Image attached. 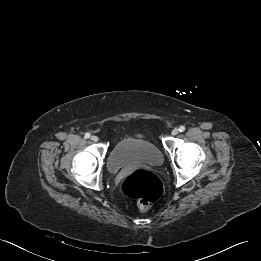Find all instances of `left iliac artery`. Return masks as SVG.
<instances>
[{
	"mask_svg": "<svg viewBox=\"0 0 261 261\" xmlns=\"http://www.w3.org/2000/svg\"><path fill=\"white\" fill-rule=\"evenodd\" d=\"M179 131H180V132H184V131H185V127H184V126H180V127H179Z\"/></svg>",
	"mask_w": 261,
	"mask_h": 261,
	"instance_id": "1",
	"label": "left iliac artery"
}]
</instances>
